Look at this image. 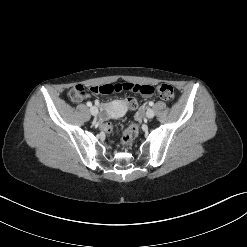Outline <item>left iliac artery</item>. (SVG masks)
<instances>
[{"mask_svg":"<svg viewBox=\"0 0 247 247\" xmlns=\"http://www.w3.org/2000/svg\"><path fill=\"white\" fill-rule=\"evenodd\" d=\"M149 105H150V106H153V105H154V103H153L152 101H150V102H149Z\"/></svg>","mask_w":247,"mask_h":247,"instance_id":"1","label":"left iliac artery"}]
</instances>
